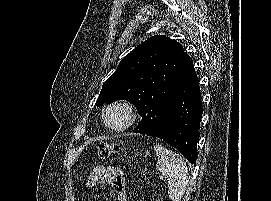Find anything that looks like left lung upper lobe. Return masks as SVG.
I'll return each mask as SVG.
<instances>
[{"mask_svg":"<svg viewBox=\"0 0 271 201\" xmlns=\"http://www.w3.org/2000/svg\"><path fill=\"white\" fill-rule=\"evenodd\" d=\"M187 54L182 45L163 35L148 38L124 57L104 82L97 106L117 100L131 102L142 117L146 135L163 127L166 109L180 85Z\"/></svg>","mask_w":271,"mask_h":201,"instance_id":"1","label":"left lung upper lobe"}]
</instances>
